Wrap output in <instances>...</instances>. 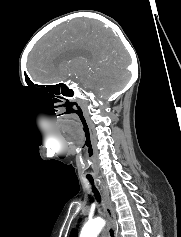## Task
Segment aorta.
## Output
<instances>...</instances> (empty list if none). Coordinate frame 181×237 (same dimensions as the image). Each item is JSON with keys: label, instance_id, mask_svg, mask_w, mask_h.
<instances>
[{"label": "aorta", "instance_id": "1", "mask_svg": "<svg viewBox=\"0 0 181 237\" xmlns=\"http://www.w3.org/2000/svg\"><path fill=\"white\" fill-rule=\"evenodd\" d=\"M105 225L102 218H95L88 221L82 228L79 237H97Z\"/></svg>", "mask_w": 181, "mask_h": 237}]
</instances>
